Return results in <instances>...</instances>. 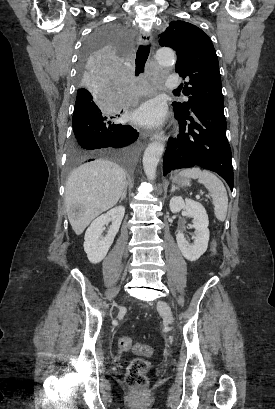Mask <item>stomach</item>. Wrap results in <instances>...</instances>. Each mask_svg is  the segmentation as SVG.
Returning a JSON list of instances; mask_svg holds the SVG:
<instances>
[{
  "instance_id": "1",
  "label": "stomach",
  "mask_w": 275,
  "mask_h": 409,
  "mask_svg": "<svg viewBox=\"0 0 275 409\" xmlns=\"http://www.w3.org/2000/svg\"><path fill=\"white\" fill-rule=\"evenodd\" d=\"M172 182H175V184H180V186H189L190 178H182V176H173Z\"/></svg>"
}]
</instances>
